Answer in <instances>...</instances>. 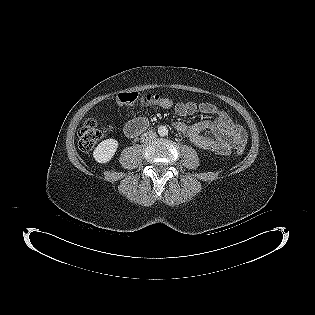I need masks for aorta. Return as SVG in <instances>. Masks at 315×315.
<instances>
[{"label": "aorta", "mask_w": 315, "mask_h": 315, "mask_svg": "<svg viewBox=\"0 0 315 315\" xmlns=\"http://www.w3.org/2000/svg\"><path fill=\"white\" fill-rule=\"evenodd\" d=\"M158 132L160 136H166L168 134V129L165 126H161L159 127Z\"/></svg>", "instance_id": "obj_1"}]
</instances>
